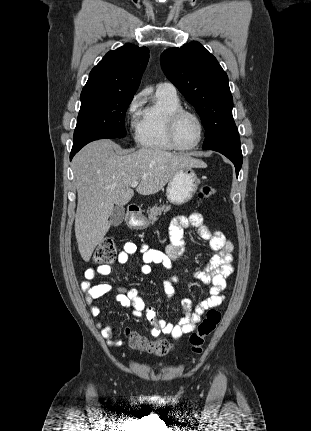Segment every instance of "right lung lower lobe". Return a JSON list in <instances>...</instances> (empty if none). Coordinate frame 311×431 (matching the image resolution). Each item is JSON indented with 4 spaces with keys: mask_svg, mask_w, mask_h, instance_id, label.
Returning a JSON list of instances; mask_svg holds the SVG:
<instances>
[{
    "mask_svg": "<svg viewBox=\"0 0 311 431\" xmlns=\"http://www.w3.org/2000/svg\"><path fill=\"white\" fill-rule=\"evenodd\" d=\"M104 138H118V137L107 135V134L97 133V134H91V135L82 137L78 140H74L73 147H72V150L70 153V160L83 146H85L89 142L94 141V140H98V139H104Z\"/></svg>",
    "mask_w": 311,
    "mask_h": 431,
    "instance_id": "1",
    "label": "right lung lower lobe"
}]
</instances>
